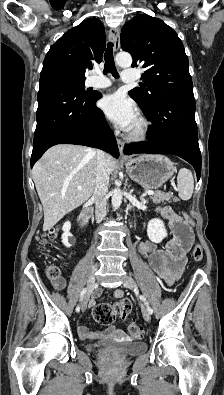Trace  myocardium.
I'll return each instance as SVG.
<instances>
[{"mask_svg":"<svg viewBox=\"0 0 224 395\" xmlns=\"http://www.w3.org/2000/svg\"><path fill=\"white\" fill-rule=\"evenodd\" d=\"M150 133V123L144 117H139L135 125L128 132L127 138L131 141L139 142L148 138Z\"/></svg>","mask_w":224,"mask_h":395,"instance_id":"f54148a6","label":"myocardium"}]
</instances>
